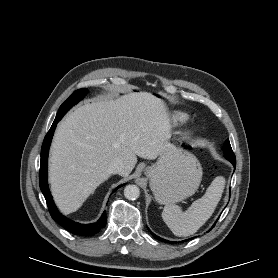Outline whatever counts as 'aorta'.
I'll use <instances>...</instances> for the list:
<instances>
[{
  "label": "aorta",
  "mask_w": 278,
  "mask_h": 278,
  "mask_svg": "<svg viewBox=\"0 0 278 278\" xmlns=\"http://www.w3.org/2000/svg\"><path fill=\"white\" fill-rule=\"evenodd\" d=\"M140 195V189L136 185H128L124 189V196L128 200H136Z\"/></svg>",
  "instance_id": "obj_1"
}]
</instances>
